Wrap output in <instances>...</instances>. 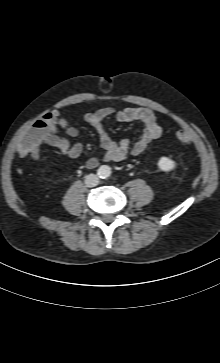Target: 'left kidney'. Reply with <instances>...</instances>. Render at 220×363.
Wrapping results in <instances>:
<instances>
[{
    "instance_id": "1",
    "label": "left kidney",
    "mask_w": 220,
    "mask_h": 363,
    "mask_svg": "<svg viewBox=\"0 0 220 363\" xmlns=\"http://www.w3.org/2000/svg\"><path fill=\"white\" fill-rule=\"evenodd\" d=\"M158 166L163 171H169L173 168L174 164L169 158L162 157L158 162Z\"/></svg>"
}]
</instances>
